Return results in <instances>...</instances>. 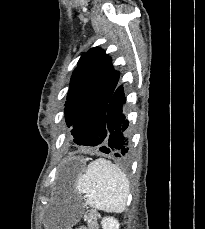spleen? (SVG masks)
Instances as JSON below:
<instances>
[{
  "label": "spleen",
  "mask_w": 205,
  "mask_h": 229,
  "mask_svg": "<svg viewBox=\"0 0 205 229\" xmlns=\"http://www.w3.org/2000/svg\"><path fill=\"white\" fill-rule=\"evenodd\" d=\"M75 190L85 194L84 200L98 210L121 213L126 209L129 182L126 175L108 160L91 162L84 174H79Z\"/></svg>",
  "instance_id": "1"
}]
</instances>
